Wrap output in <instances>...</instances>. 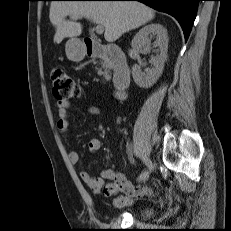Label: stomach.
Segmentation results:
<instances>
[{
  "label": "stomach",
  "instance_id": "0dacf381",
  "mask_svg": "<svg viewBox=\"0 0 231 231\" xmlns=\"http://www.w3.org/2000/svg\"><path fill=\"white\" fill-rule=\"evenodd\" d=\"M66 56L73 62H79L85 57V46L77 38H71L65 45Z\"/></svg>",
  "mask_w": 231,
  "mask_h": 231
}]
</instances>
